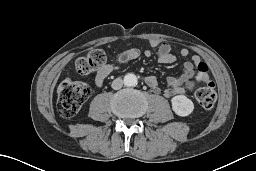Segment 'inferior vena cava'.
<instances>
[{
	"label": "inferior vena cava",
	"mask_w": 256,
	"mask_h": 171,
	"mask_svg": "<svg viewBox=\"0 0 256 171\" xmlns=\"http://www.w3.org/2000/svg\"><path fill=\"white\" fill-rule=\"evenodd\" d=\"M123 80L121 79V78H116L113 82H112V88L114 89V90H119V89H121L122 88V86H123Z\"/></svg>",
	"instance_id": "602c4592"
}]
</instances>
